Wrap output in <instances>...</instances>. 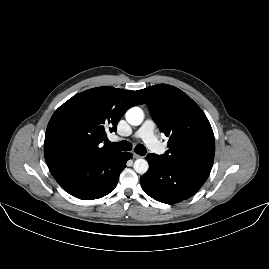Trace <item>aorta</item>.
<instances>
[{"mask_svg":"<svg viewBox=\"0 0 269 269\" xmlns=\"http://www.w3.org/2000/svg\"><path fill=\"white\" fill-rule=\"evenodd\" d=\"M126 120L130 125L138 126L143 122L144 112L139 107H132L126 112ZM148 162L145 159H136L133 165L134 170L144 174L148 170Z\"/></svg>","mask_w":269,"mask_h":269,"instance_id":"aorta-1","label":"aorta"}]
</instances>
